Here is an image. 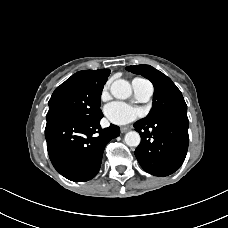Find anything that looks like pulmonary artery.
Listing matches in <instances>:
<instances>
[{"label": "pulmonary artery", "mask_w": 228, "mask_h": 228, "mask_svg": "<svg viewBox=\"0 0 228 228\" xmlns=\"http://www.w3.org/2000/svg\"><path fill=\"white\" fill-rule=\"evenodd\" d=\"M132 86H133L136 96L141 101L148 100L153 94V86L147 80L134 79L132 81Z\"/></svg>", "instance_id": "e3ab8cb5"}]
</instances>
